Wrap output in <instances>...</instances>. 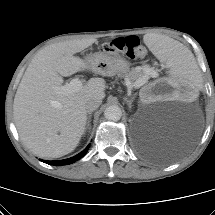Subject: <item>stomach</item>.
<instances>
[{
    "mask_svg": "<svg viewBox=\"0 0 215 215\" xmlns=\"http://www.w3.org/2000/svg\"><path fill=\"white\" fill-rule=\"evenodd\" d=\"M90 70L103 76H123L129 71V63L126 59L111 56L106 52H96L85 57Z\"/></svg>",
    "mask_w": 215,
    "mask_h": 215,
    "instance_id": "obj_1",
    "label": "stomach"
}]
</instances>
